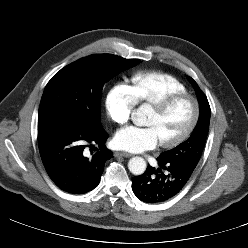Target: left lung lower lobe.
Wrapping results in <instances>:
<instances>
[{
  "mask_svg": "<svg viewBox=\"0 0 248 248\" xmlns=\"http://www.w3.org/2000/svg\"><path fill=\"white\" fill-rule=\"evenodd\" d=\"M157 170L148 166L146 171L132 178V190L146 203H160L177 195L188 182L196 167L193 162L163 161L159 158ZM162 169L165 172H162Z\"/></svg>",
  "mask_w": 248,
  "mask_h": 248,
  "instance_id": "left-lung-lower-lobe-1",
  "label": "left lung lower lobe"
}]
</instances>
